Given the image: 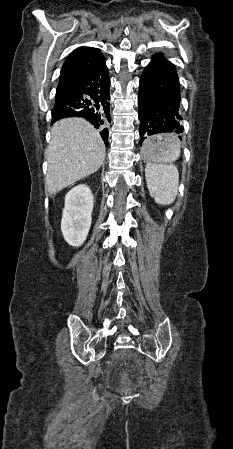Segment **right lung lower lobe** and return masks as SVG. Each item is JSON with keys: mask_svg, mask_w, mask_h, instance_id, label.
Segmentation results:
<instances>
[{"mask_svg": "<svg viewBox=\"0 0 233 449\" xmlns=\"http://www.w3.org/2000/svg\"><path fill=\"white\" fill-rule=\"evenodd\" d=\"M110 79L105 60L80 79L57 89L52 110V123L65 117H82L88 120L107 145L110 122Z\"/></svg>", "mask_w": 233, "mask_h": 449, "instance_id": "1", "label": "right lung lower lobe"}]
</instances>
